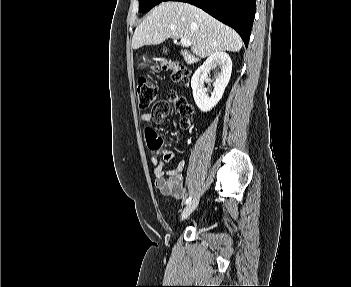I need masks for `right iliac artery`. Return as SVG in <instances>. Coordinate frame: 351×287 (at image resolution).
<instances>
[{"label":"right iliac artery","instance_id":"right-iliac-artery-1","mask_svg":"<svg viewBox=\"0 0 351 287\" xmlns=\"http://www.w3.org/2000/svg\"><path fill=\"white\" fill-rule=\"evenodd\" d=\"M191 200H192V197H189L188 199H186L185 204L188 205L191 202Z\"/></svg>","mask_w":351,"mask_h":287}]
</instances>
